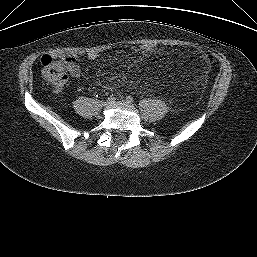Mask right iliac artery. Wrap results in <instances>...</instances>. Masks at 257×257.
I'll list each match as a JSON object with an SVG mask.
<instances>
[{"instance_id":"1","label":"right iliac artery","mask_w":257,"mask_h":257,"mask_svg":"<svg viewBox=\"0 0 257 257\" xmlns=\"http://www.w3.org/2000/svg\"><path fill=\"white\" fill-rule=\"evenodd\" d=\"M115 100H116V98H115L113 95H111V96H109V97L107 98V101H109L110 103L115 102Z\"/></svg>"}]
</instances>
